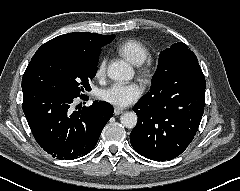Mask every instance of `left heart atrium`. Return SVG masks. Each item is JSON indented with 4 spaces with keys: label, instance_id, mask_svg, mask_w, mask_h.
I'll return each mask as SVG.
<instances>
[{
    "label": "left heart atrium",
    "instance_id": "39dd6f15",
    "mask_svg": "<svg viewBox=\"0 0 240 191\" xmlns=\"http://www.w3.org/2000/svg\"><path fill=\"white\" fill-rule=\"evenodd\" d=\"M143 93L138 83L115 82L101 92V99L116 107H126L135 102Z\"/></svg>",
    "mask_w": 240,
    "mask_h": 191
}]
</instances>
